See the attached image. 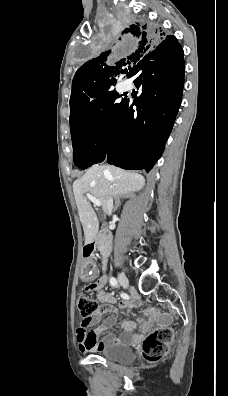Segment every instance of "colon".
Here are the masks:
<instances>
[{
  "mask_svg": "<svg viewBox=\"0 0 228 396\" xmlns=\"http://www.w3.org/2000/svg\"><path fill=\"white\" fill-rule=\"evenodd\" d=\"M77 306L81 316L80 326L86 328L91 324L99 305L94 299L82 293L77 299ZM172 341L173 332L171 329L159 328L154 330L142 343L144 358L151 363L164 359L169 352Z\"/></svg>",
  "mask_w": 228,
  "mask_h": 396,
  "instance_id": "obj_1",
  "label": "colon"
}]
</instances>
